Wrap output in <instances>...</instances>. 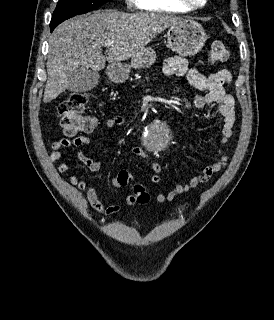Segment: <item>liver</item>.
<instances>
[{"mask_svg": "<svg viewBox=\"0 0 274 320\" xmlns=\"http://www.w3.org/2000/svg\"><path fill=\"white\" fill-rule=\"evenodd\" d=\"M178 20L182 18L156 12L124 14L118 10H97L66 20L49 40L43 102H52L69 90L75 72H99L106 62L120 64L136 58L149 42ZM105 42L114 44L107 46L103 56Z\"/></svg>", "mask_w": 274, "mask_h": 320, "instance_id": "6515ba94", "label": "liver"}]
</instances>
